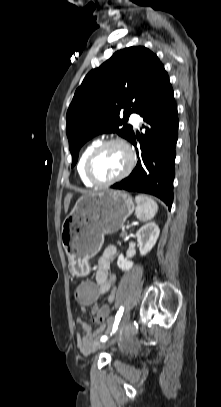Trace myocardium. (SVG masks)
<instances>
[{"instance_id":"f54148a6","label":"myocardium","mask_w":221,"mask_h":407,"mask_svg":"<svg viewBox=\"0 0 221 407\" xmlns=\"http://www.w3.org/2000/svg\"><path fill=\"white\" fill-rule=\"evenodd\" d=\"M110 145H119L121 146L127 153L128 156V163L126 168L116 177L109 179V180H99L97 179L92 171V165L96 157L108 146ZM136 162L135 154L130 147V145L120 138H110L105 141L100 142L88 155L84 164V173L86 178L96 186H109L114 183H117L124 178H126L134 169Z\"/></svg>"}]
</instances>
